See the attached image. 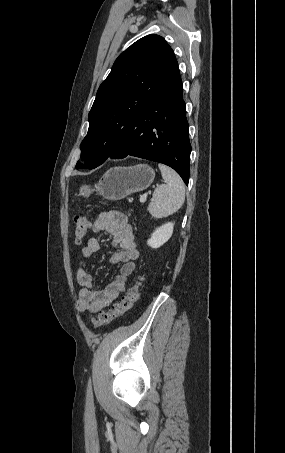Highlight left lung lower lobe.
<instances>
[{
	"instance_id": "left-lung-lower-lobe-1",
	"label": "left lung lower lobe",
	"mask_w": 285,
	"mask_h": 453,
	"mask_svg": "<svg viewBox=\"0 0 285 453\" xmlns=\"http://www.w3.org/2000/svg\"><path fill=\"white\" fill-rule=\"evenodd\" d=\"M182 93V80L175 59L153 98L109 158L121 159L131 155L166 164L188 185L191 145Z\"/></svg>"
}]
</instances>
